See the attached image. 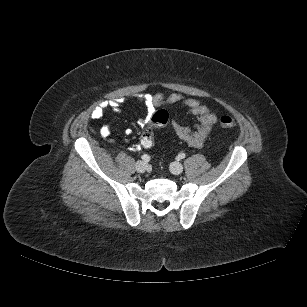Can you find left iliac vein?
<instances>
[{
  "mask_svg": "<svg viewBox=\"0 0 307 307\" xmlns=\"http://www.w3.org/2000/svg\"><path fill=\"white\" fill-rule=\"evenodd\" d=\"M170 171L174 175H180L183 172V166L179 162H173L170 165Z\"/></svg>",
  "mask_w": 307,
  "mask_h": 307,
  "instance_id": "obj_1",
  "label": "left iliac vein"
}]
</instances>
